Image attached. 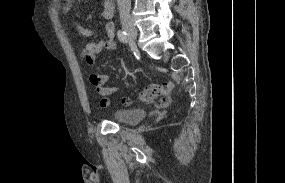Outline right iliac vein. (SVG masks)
I'll return each mask as SVG.
<instances>
[{
    "label": "right iliac vein",
    "instance_id": "1",
    "mask_svg": "<svg viewBox=\"0 0 285 183\" xmlns=\"http://www.w3.org/2000/svg\"><path fill=\"white\" fill-rule=\"evenodd\" d=\"M121 24L123 29L125 30V32L128 34V36L135 41L137 39L138 36V31L135 27V25L133 24L132 20L129 18H123L121 20Z\"/></svg>",
    "mask_w": 285,
    "mask_h": 183
}]
</instances>
